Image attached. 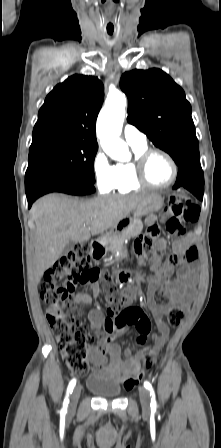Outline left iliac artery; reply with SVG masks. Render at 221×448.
<instances>
[{
    "label": "left iliac artery",
    "mask_w": 221,
    "mask_h": 448,
    "mask_svg": "<svg viewBox=\"0 0 221 448\" xmlns=\"http://www.w3.org/2000/svg\"><path fill=\"white\" fill-rule=\"evenodd\" d=\"M144 387L150 391V395L152 396L151 404H150L151 410H156L157 404H156L155 393H154V390L152 388V385L149 382L145 381L144 382Z\"/></svg>",
    "instance_id": "44dca946"
}]
</instances>
